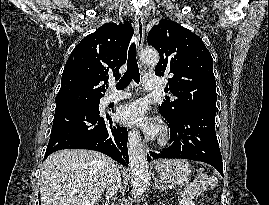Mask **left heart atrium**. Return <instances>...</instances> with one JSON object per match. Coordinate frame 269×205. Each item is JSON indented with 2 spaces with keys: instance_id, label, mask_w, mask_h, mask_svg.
I'll list each match as a JSON object with an SVG mask.
<instances>
[{
  "instance_id": "1",
  "label": "left heart atrium",
  "mask_w": 269,
  "mask_h": 205,
  "mask_svg": "<svg viewBox=\"0 0 269 205\" xmlns=\"http://www.w3.org/2000/svg\"><path fill=\"white\" fill-rule=\"evenodd\" d=\"M118 118L125 125H139L149 133H154L156 130L155 126L147 119V106L142 101H135L124 106L119 111Z\"/></svg>"
}]
</instances>
